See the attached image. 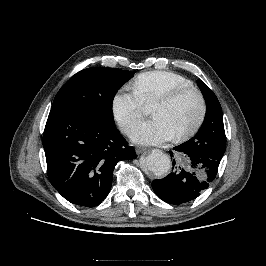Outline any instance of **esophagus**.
Wrapping results in <instances>:
<instances>
[{
    "mask_svg": "<svg viewBox=\"0 0 266 266\" xmlns=\"http://www.w3.org/2000/svg\"><path fill=\"white\" fill-rule=\"evenodd\" d=\"M147 149L146 148H143V147H136L135 148V152L136 154L140 155L142 154L143 152H145Z\"/></svg>",
    "mask_w": 266,
    "mask_h": 266,
    "instance_id": "esophagus-1",
    "label": "esophagus"
}]
</instances>
